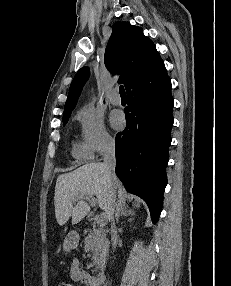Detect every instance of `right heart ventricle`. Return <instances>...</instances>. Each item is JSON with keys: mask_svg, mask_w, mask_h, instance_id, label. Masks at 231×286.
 <instances>
[{"mask_svg": "<svg viewBox=\"0 0 231 286\" xmlns=\"http://www.w3.org/2000/svg\"><path fill=\"white\" fill-rule=\"evenodd\" d=\"M71 152L72 156L79 161H87L92 158V154L82 142L74 141Z\"/></svg>", "mask_w": 231, "mask_h": 286, "instance_id": "1", "label": "right heart ventricle"}]
</instances>
